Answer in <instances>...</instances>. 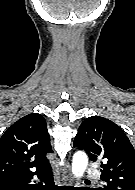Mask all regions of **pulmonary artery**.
<instances>
[{
	"label": "pulmonary artery",
	"mask_w": 135,
	"mask_h": 190,
	"mask_svg": "<svg viewBox=\"0 0 135 190\" xmlns=\"http://www.w3.org/2000/svg\"><path fill=\"white\" fill-rule=\"evenodd\" d=\"M86 174L88 177H91V178H97L100 175L99 170L93 166L88 167Z\"/></svg>",
	"instance_id": "e3ab8cb5"
}]
</instances>
